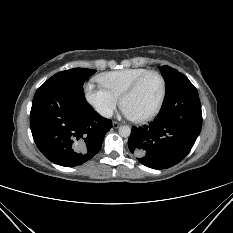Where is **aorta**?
<instances>
[{
  "label": "aorta",
  "instance_id": "obj_1",
  "mask_svg": "<svg viewBox=\"0 0 233 233\" xmlns=\"http://www.w3.org/2000/svg\"><path fill=\"white\" fill-rule=\"evenodd\" d=\"M131 134V128L127 125L119 127V135L122 137H129Z\"/></svg>",
  "mask_w": 233,
  "mask_h": 233
}]
</instances>
